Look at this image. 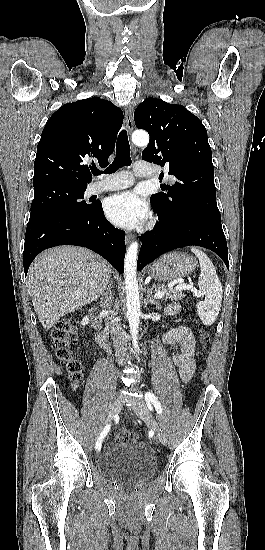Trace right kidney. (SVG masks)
Segmentation results:
<instances>
[{"label":"right kidney","mask_w":265,"mask_h":550,"mask_svg":"<svg viewBox=\"0 0 265 550\" xmlns=\"http://www.w3.org/2000/svg\"><path fill=\"white\" fill-rule=\"evenodd\" d=\"M88 322H89V317L85 316L81 321V325L85 326L86 324H88Z\"/></svg>","instance_id":"1"}]
</instances>
